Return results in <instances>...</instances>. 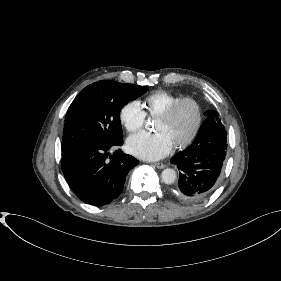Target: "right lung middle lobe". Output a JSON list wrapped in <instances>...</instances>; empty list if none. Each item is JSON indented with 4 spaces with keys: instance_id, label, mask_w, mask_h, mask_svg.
<instances>
[{
    "instance_id": "dd1d6c3e",
    "label": "right lung middle lobe",
    "mask_w": 281,
    "mask_h": 281,
    "mask_svg": "<svg viewBox=\"0 0 281 281\" xmlns=\"http://www.w3.org/2000/svg\"><path fill=\"white\" fill-rule=\"evenodd\" d=\"M147 90L146 86L106 80L85 87L67 111L62 154L80 145L106 144L122 139L120 110Z\"/></svg>"
}]
</instances>
